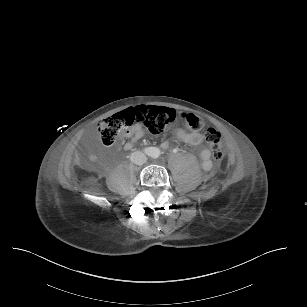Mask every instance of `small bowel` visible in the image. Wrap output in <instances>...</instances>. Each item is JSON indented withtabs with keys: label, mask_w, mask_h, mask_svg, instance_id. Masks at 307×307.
<instances>
[{
	"label": "small bowel",
	"mask_w": 307,
	"mask_h": 307,
	"mask_svg": "<svg viewBox=\"0 0 307 307\" xmlns=\"http://www.w3.org/2000/svg\"><path fill=\"white\" fill-rule=\"evenodd\" d=\"M144 134L142 128L140 126H135L132 129H130L127 132V136L131 137V140L125 145L126 149H131L134 144L137 142V140L142 137ZM175 136L178 140L190 144V145H200L203 142V135L200 132L197 131H186L183 129H178L175 131ZM162 147L164 149H167L169 147V143L167 141H164L162 143ZM201 160H202V164L203 167L205 169H208L211 166L210 163V150L205 148L203 149L200 154H199ZM90 158L91 159H96V155L95 154H90Z\"/></svg>",
	"instance_id": "small-bowel-1"
}]
</instances>
